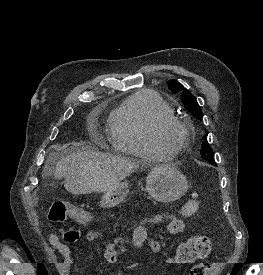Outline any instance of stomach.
Masks as SVG:
<instances>
[{
    "mask_svg": "<svg viewBox=\"0 0 263 275\" xmlns=\"http://www.w3.org/2000/svg\"><path fill=\"white\" fill-rule=\"evenodd\" d=\"M127 181L109 190L102 197L99 205L102 208L114 207L125 200L129 193ZM147 192L159 202H173L181 198L188 190L186 177L175 167L155 166L146 178Z\"/></svg>",
    "mask_w": 263,
    "mask_h": 275,
    "instance_id": "0dacf381",
    "label": "stomach"
}]
</instances>
